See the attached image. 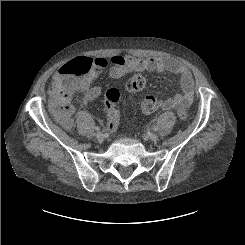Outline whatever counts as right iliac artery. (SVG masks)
Masks as SVG:
<instances>
[{"mask_svg": "<svg viewBox=\"0 0 245 245\" xmlns=\"http://www.w3.org/2000/svg\"><path fill=\"white\" fill-rule=\"evenodd\" d=\"M95 130L99 131V130H100V128H99L98 126H96V127H95Z\"/></svg>", "mask_w": 245, "mask_h": 245, "instance_id": "right-iliac-artery-1", "label": "right iliac artery"}]
</instances>
